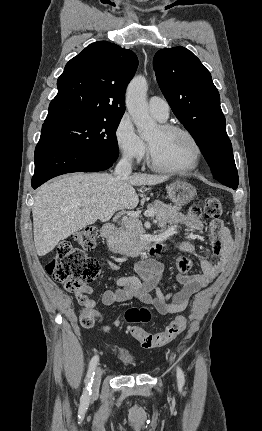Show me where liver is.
I'll list each match as a JSON object with an SVG mask.
<instances>
[{"label": "liver", "instance_id": "liver-1", "mask_svg": "<svg viewBox=\"0 0 262 431\" xmlns=\"http://www.w3.org/2000/svg\"><path fill=\"white\" fill-rule=\"evenodd\" d=\"M166 179L141 173L120 179L107 173H76L42 185L32 207L37 254L45 256L61 240L98 219L106 222L117 211L137 207L139 198L133 186L155 185Z\"/></svg>", "mask_w": 262, "mask_h": 431}]
</instances>
